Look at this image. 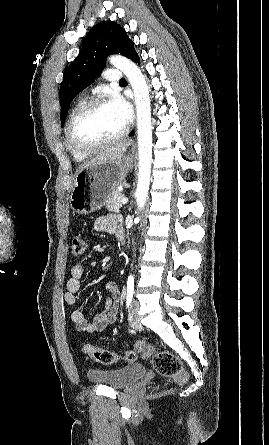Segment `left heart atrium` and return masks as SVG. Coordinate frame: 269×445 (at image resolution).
<instances>
[{"instance_id":"left-heart-atrium-1","label":"left heart atrium","mask_w":269,"mask_h":445,"mask_svg":"<svg viewBox=\"0 0 269 445\" xmlns=\"http://www.w3.org/2000/svg\"><path fill=\"white\" fill-rule=\"evenodd\" d=\"M110 105L117 112L119 117L128 125L133 118V111L131 105L120 95L115 94L109 101Z\"/></svg>"}]
</instances>
